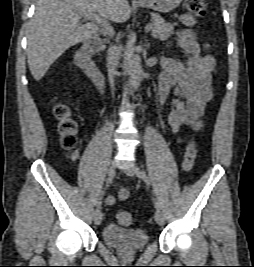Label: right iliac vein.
<instances>
[{
  "label": "right iliac vein",
  "instance_id": "obj_1",
  "mask_svg": "<svg viewBox=\"0 0 254 267\" xmlns=\"http://www.w3.org/2000/svg\"><path fill=\"white\" fill-rule=\"evenodd\" d=\"M114 171V168L111 166L108 168V174ZM93 220L96 225H100L102 222V213L99 209H97L93 214Z\"/></svg>",
  "mask_w": 254,
  "mask_h": 267
}]
</instances>
